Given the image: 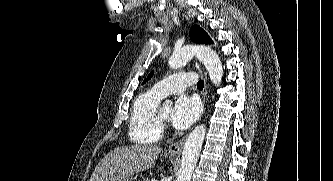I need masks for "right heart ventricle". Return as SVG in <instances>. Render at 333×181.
<instances>
[{
    "label": "right heart ventricle",
    "instance_id": "right-heart-ventricle-1",
    "mask_svg": "<svg viewBox=\"0 0 333 181\" xmlns=\"http://www.w3.org/2000/svg\"><path fill=\"white\" fill-rule=\"evenodd\" d=\"M162 97L151 90L140 94L131 110L129 138L137 144L157 143L162 137V127L158 124L155 112Z\"/></svg>",
    "mask_w": 333,
    "mask_h": 181
}]
</instances>
